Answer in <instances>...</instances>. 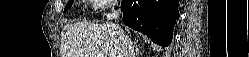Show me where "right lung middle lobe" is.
<instances>
[{
	"instance_id": "obj_1",
	"label": "right lung middle lobe",
	"mask_w": 249,
	"mask_h": 57,
	"mask_svg": "<svg viewBox=\"0 0 249 57\" xmlns=\"http://www.w3.org/2000/svg\"><path fill=\"white\" fill-rule=\"evenodd\" d=\"M72 4H73V0H70V1L68 2V4L66 5L65 9H64V12H66L67 9L70 8Z\"/></svg>"
}]
</instances>
